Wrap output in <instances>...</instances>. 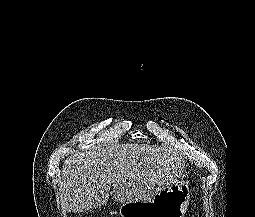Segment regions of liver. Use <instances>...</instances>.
<instances>
[{
  "label": "liver",
  "instance_id": "1",
  "mask_svg": "<svg viewBox=\"0 0 255 217\" xmlns=\"http://www.w3.org/2000/svg\"><path fill=\"white\" fill-rule=\"evenodd\" d=\"M185 160L175 151L145 144H108L75 152L64 161L59 191L62 208L80 213L109 201L149 200L176 182Z\"/></svg>",
  "mask_w": 255,
  "mask_h": 217
}]
</instances>
